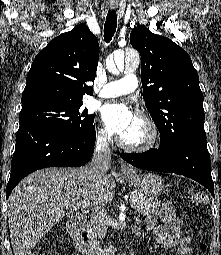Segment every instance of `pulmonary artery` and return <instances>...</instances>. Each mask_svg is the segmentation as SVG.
Masks as SVG:
<instances>
[{
	"label": "pulmonary artery",
	"mask_w": 221,
	"mask_h": 255,
	"mask_svg": "<svg viewBox=\"0 0 221 255\" xmlns=\"http://www.w3.org/2000/svg\"><path fill=\"white\" fill-rule=\"evenodd\" d=\"M137 77L134 74H126L123 78L110 81L102 86L100 97L111 98L119 95L129 94L136 90Z\"/></svg>",
	"instance_id": "1"
}]
</instances>
